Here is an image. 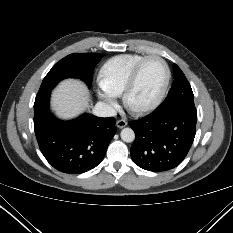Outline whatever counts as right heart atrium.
Listing matches in <instances>:
<instances>
[{"mask_svg":"<svg viewBox=\"0 0 233 233\" xmlns=\"http://www.w3.org/2000/svg\"><path fill=\"white\" fill-rule=\"evenodd\" d=\"M99 97L107 104L111 109H115L117 106L116 96L108 92H100Z\"/></svg>","mask_w":233,"mask_h":233,"instance_id":"1","label":"right heart atrium"}]
</instances>
